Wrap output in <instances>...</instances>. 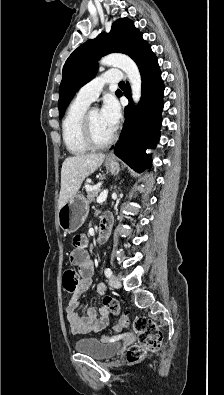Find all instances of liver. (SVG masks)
<instances>
[{"label":"liver","instance_id":"6515ba94","mask_svg":"<svg viewBox=\"0 0 224 395\" xmlns=\"http://www.w3.org/2000/svg\"><path fill=\"white\" fill-rule=\"evenodd\" d=\"M104 159L103 153L78 154L65 159L61 169L59 209L77 194L84 179L95 172Z\"/></svg>","mask_w":224,"mask_h":395}]
</instances>
